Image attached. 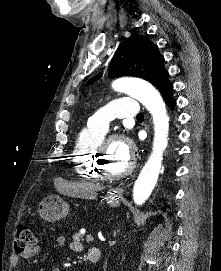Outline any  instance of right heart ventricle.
I'll list each match as a JSON object with an SVG mask.
<instances>
[{"label": "right heart ventricle", "mask_w": 221, "mask_h": 271, "mask_svg": "<svg viewBox=\"0 0 221 271\" xmlns=\"http://www.w3.org/2000/svg\"><path fill=\"white\" fill-rule=\"evenodd\" d=\"M98 144H106L102 136L97 135L90 139L77 138L76 150L84 153L74 154L72 158L74 164H80V166H74L79 179H100V174H96L98 164L92 161V158H97L96 154L100 150L97 148Z\"/></svg>", "instance_id": "1"}]
</instances>
